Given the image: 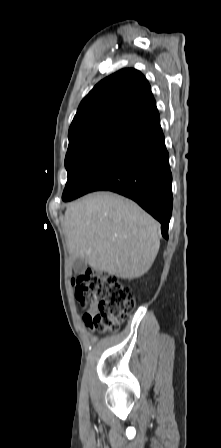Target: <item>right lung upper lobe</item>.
Instances as JSON below:
<instances>
[{
  "label": "right lung upper lobe",
  "mask_w": 221,
  "mask_h": 448,
  "mask_svg": "<svg viewBox=\"0 0 221 448\" xmlns=\"http://www.w3.org/2000/svg\"><path fill=\"white\" fill-rule=\"evenodd\" d=\"M158 115L144 75L122 69L101 80L80 103L69 128L68 151L95 142H118Z\"/></svg>",
  "instance_id": "right-lung-upper-lobe-1"
}]
</instances>
